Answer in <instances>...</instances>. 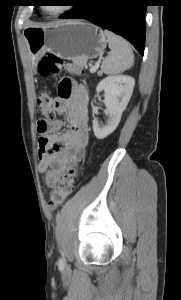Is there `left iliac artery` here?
<instances>
[{"label":"left iliac artery","instance_id":"obj_1","mask_svg":"<svg viewBox=\"0 0 181 300\" xmlns=\"http://www.w3.org/2000/svg\"><path fill=\"white\" fill-rule=\"evenodd\" d=\"M59 264L63 265L64 264V260L62 258L59 259Z\"/></svg>","mask_w":181,"mask_h":300}]
</instances>
